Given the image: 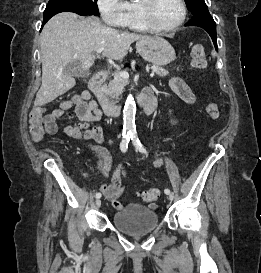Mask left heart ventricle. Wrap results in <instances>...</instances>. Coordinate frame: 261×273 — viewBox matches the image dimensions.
I'll return each instance as SVG.
<instances>
[{"label": "left heart ventricle", "instance_id": "obj_1", "mask_svg": "<svg viewBox=\"0 0 261 273\" xmlns=\"http://www.w3.org/2000/svg\"><path fill=\"white\" fill-rule=\"evenodd\" d=\"M153 17L160 27H171L176 24L181 17V7L178 0H157Z\"/></svg>", "mask_w": 261, "mask_h": 273}]
</instances>
